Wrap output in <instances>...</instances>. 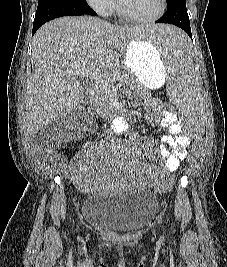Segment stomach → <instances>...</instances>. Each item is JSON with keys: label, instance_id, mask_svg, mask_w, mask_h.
<instances>
[{"label": "stomach", "instance_id": "0dacf381", "mask_svg": "<svg viewBox=\"0 0 227 267\" xmlns=\"http://www.w3.org/2000/svg\"><path fill=\"white\" fill-rule=\"evenodd\" d=\"M124 64L143 85L149 88L161 86L163 76H167L168 65L162 55H155V47L150 43H140L135 39L125 48Z\"/></svg>", "mask_w": 227, "mask_h": 267}]
</instances>
